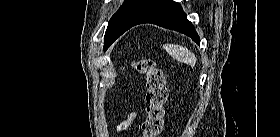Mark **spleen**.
<instances>
[{"label":"spleen","instance_id":"spleen-1","mask_svg":"<svg viewBox=\"0 0 280 137\" xmlns=\"http://www.w3.org/2000/svg\"><path fill=\"white\" fill-rule=\"evenodd\" d=\"M163 48L173 59L177 60L178 62L191 66L196 64L197 58L195 54L181 45L170 43L163 45Z\"/></svg>","mask_w":280,"mask_h":137}]
</instances>
